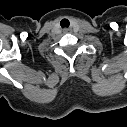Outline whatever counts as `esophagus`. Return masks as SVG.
<instances>
[{
	"label": "esophagus",
	"mask_w": 127,
	"mask_h": 127,
	"mask_svg": "<svg viewBox=\"0 0 127 127\" xmlns=\"http://www.w3.org/2000/svg\"><path fill=\"white\" fill-rule=\"evenodd\" d=\"M63 32H64V33H69V32H71V29L65 28V29L63 30Z\"/></svg>",
	"instance_id": "1"
}]
</instances>
